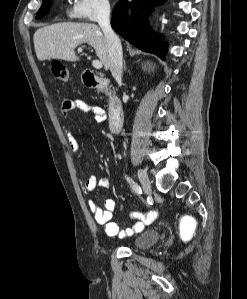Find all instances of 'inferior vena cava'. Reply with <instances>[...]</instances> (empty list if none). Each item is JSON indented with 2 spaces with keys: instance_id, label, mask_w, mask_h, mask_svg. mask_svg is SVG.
Returning <instances> with one entry per match:
<instances>
[{
  "instance_id": "602c4592",
  "label": "inferior vena cava",
  "mask_w": 247,
  "mask_h": 299,
  "mask_svg": "<svg viewBox=\"0 0 247 299\" xmlns=\"http://www.w3.org/2000/svg\"><path fill=\"white\" fill-rule=\"evenodd\" d=\"M97 21L108 43L110 70L116 81L122 80L123 53L119 38L111 27V11L109 5H103L98 12Z\"/></svg>"
}]
</instances>
